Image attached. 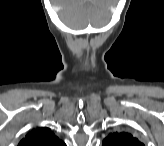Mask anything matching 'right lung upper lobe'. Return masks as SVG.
Wrapping results in <instances>:
<instances>
[{"mask_svg": "<svg viewBox=\"0 0 164 146\" xmlns=\"http://www.w3.org/2000/svg\"><path fill=\"white\" fill-rule=\"evenodd\" d=\"M19 146H64L49 128L33 130L19 143Z\"/></svg>", "mask_w": 164, "mask_h": 146, "instance_id": "1", "label": "right lung upper lobe"}]
</instances>
